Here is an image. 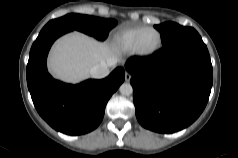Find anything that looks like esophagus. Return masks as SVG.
Wrapping results in <instances>:
<instances>
[{"label": "esophagus", "mask_w": 238, "mask_h": 158, "mask_svg": "<svg viewBox=\"0 0 238 158\" xmlns=\"http://www.w3.org/2000/svg\"><path fill=\"white\" fill-rule=\"evenodd\" d=\"M131 74L130 73H128V72H125V81L126 82H129L130 81V79H131Z\"/></svg>", "instance_id": "34e87169"}]
</instances>
